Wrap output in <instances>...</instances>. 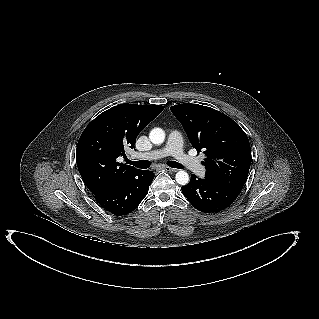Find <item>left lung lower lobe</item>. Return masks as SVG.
I'll return each mask as SVG.
<instances>
[{"mask_svg":"<svg viewBox=\"0 0 319 319\" xmlns=\"http://www.w3.org/2000/svg\"><path fill=\"white\" fill-rule=\"evenodd\" d=\"M181 189L188 201L205 213H215L227 208L240 194L221 182L207 178L197 179L195 175Z\"/></svg>","mask_w":319,"mask_h":319,"instance_id":"left-lung-lower-lobe-1","label":"left lung lower lobe"}]
</instances>
